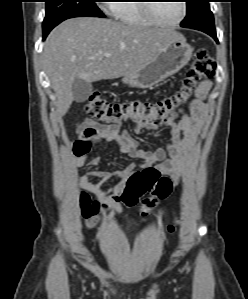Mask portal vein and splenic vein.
Returning <instances> with one entry per match:
<instances>
[{
    "label": "portal vein and splenic vein",
    "mask_w": 248,
    "mask_h": 299,
    "mask_svg": "<svg viewBox=\"0 0 248 299\" xmlns=\"http://www.w3.org/2000/svg\"><path fill=\"white\" fill-rule=\"evenodd\" d=\"M104 56L109 57V56H111V54L110 53H104Z\"/></svg>",
    "instance_id": "portal-vein-and-splenic-vein-1"
}]
</instances>
